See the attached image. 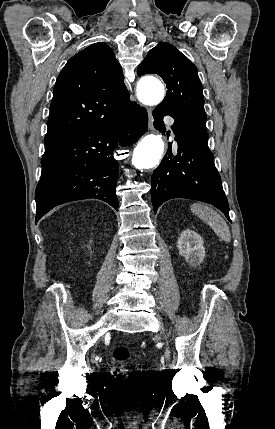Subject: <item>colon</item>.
I'll return each instance as SVG.
<instances>
[{"instance_id":"5ec220e1","label":"colon","mask_w":275,"mask_h":429,"mask_svg":"<svg viewBox=\"0 0 275 429\" xmlns=\"http://www.w3.org/2000/svg\"><path fill=\"white\" fill-rule=\"evenodd\" d=\"M129 356V350L125 346H118L111 352L110 362L115 367L114 374L117 378H126L127 373L122 368V364L128 360Z\"/></svg>"}]
</instances>
